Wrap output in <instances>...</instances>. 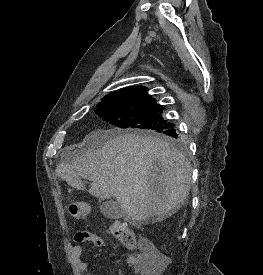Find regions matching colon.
Listing matches in <instances>:
<instances>
[{"label":"colon","mask_w":263,"mask_h":275,"mask_svg":"<svg viewBox=\"0 0 263 275\" xmlns=\"http://www.w3.org/2000/svg\"><path fill=\"white\" fill-rule=\"evenodd\" d=\"M69 211L78 220L87 218L89 214L87 206L83 203L71 204ZM107 231L128 250L137 253L138 260L142 262V275H157L163 263L162 258L156 255H148L142 258V255L137 250L134 232L126 224L114 222L108 227Z\"/></svg>","instance_id":"5ec220e1"}]
</instances>
